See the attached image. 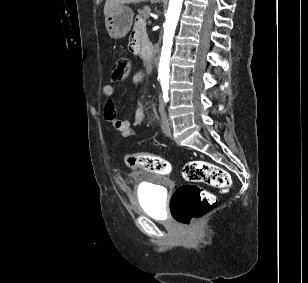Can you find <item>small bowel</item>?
<instances>
[{
	"label": "small bowel",
	"instance_id": "1",
	"mask_svg": "<svg viewBox=\"0 0 308 283\" xmlns=\"http://www.w3.org/2000/svg\"><path fill=\"white\" fill-rule=\"evenodd\" d=\"M145 22L142 18L138 17L135 20L133 30L130 34L128 41V50L132 54H139L141 52V43L146 38ZM143 73L137 72L133 75L132 81L137 84L143 80ZM103 94L106 97V103L104 106V118L111 123L113 127L123 136L128 137L136 135L137 131L135 127L141 125L145 118V109L138 107L131 120L120 119L118 117L115 101H114V87L112 85H105L103 87Z\"/></svg>",
	"mask_w": 308,
	"mask_h": 283
}]
</instances>
